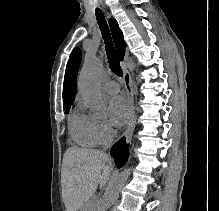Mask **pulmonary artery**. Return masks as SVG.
<instances>
[{
	"label": "pulmonary artery",
	"mask_w": 219,
	"mask_h": 211,
	"mask_svg": "<svg viewBox=\"0 0 219 211\" xmlns=\"http://www.w3.org/2000/svg\"><path fill=\"white\" fill-rule=\"evenodd\" d=\"M103 90L110 95H114L119 92L120 86L116 81L108 80L103 84Z\"/></svg>",
	"instance_id": "1"
}]
</instances>
